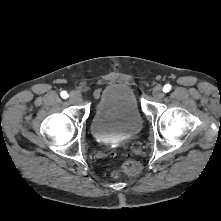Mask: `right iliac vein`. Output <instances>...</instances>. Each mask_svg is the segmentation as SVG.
<instances>
[{
    "instance_id": "63e3f726",
    "label": "right iliac vein",
    "mask_w": 221,
    "mask_h": 221,
    "mask_svg": "<svg viewBox=\"0 0 221 221\" xmlns=\"http://www.w3.org/2000/svg\"><path fill=\"white\" fill-rule=\"evenodd\" d=\"M81 96L77 92H71L69 95V101L73 104H78L81 102Z\"/></svg>"
}]
</instances>
